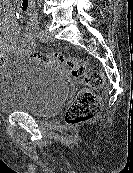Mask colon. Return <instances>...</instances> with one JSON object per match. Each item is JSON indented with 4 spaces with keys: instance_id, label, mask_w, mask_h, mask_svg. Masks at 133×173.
Segmentation results:
<instances>
[{
    "instance_id": "obj_1",
    "label": "colon",
    "mask_w": 133,
    "mask_h": 173,
    "mask_svg": "<svg viewBox=\"0 0 133 173\" xmlns=\"http://www.w3.org/2000/svg\"><path fill=\"white\" fill-rule=\"evenodd\" d=\"M32 57L53 66H66L72 78L77 80L81 90L70 105L65 120L68 125H77L91 119L101 108V99L96 94L104 84V75L97 68L89 67L86 60L67 58L59 52L35 51ZM5 56L0 53V62Z\"/></svg>"
}]
</instances>
